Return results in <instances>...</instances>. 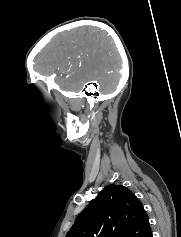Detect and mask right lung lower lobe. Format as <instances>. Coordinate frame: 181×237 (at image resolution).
I'll use <instances>...</instances> for the list:
<instances>
[{"instance_id":"right-lung-lower-lobe-1","label":"right lung lower lobe","mask_w":181,"mask_h":237,"mask_svg":"<svg viewBox=\"0 0 181 237\" xmlns=\"http://www.w3.org/2000/svg\"><path fill=\"white\" fill-rule=\"evenodd\" d=\"M148 237H153L152 233H150V234L148 235Z\"/></svg>"}]
</instances>
